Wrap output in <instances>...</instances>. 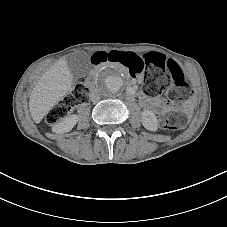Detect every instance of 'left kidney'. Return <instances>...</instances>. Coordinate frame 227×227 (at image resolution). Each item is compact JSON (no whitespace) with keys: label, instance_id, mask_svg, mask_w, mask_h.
I'll list each match as a JSON object with an SVG mask.
<instances>
[{"label":"left kidney","instance_id":"obj_1","mask_svg":"<svg viewBox=\"0 0 227 227\" xmlns=\"http://www.w3.org/2000/svg\"><path fill=\"white\" fill-rule=\"evenodd\" d=\"M142 124L143 126L150 131H157V117L156 115L149 110L142 111Z\"/></svg>","mask_w":227,"mask_h":227}]
</instances>
